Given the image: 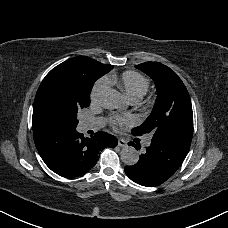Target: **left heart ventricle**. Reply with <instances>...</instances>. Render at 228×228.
<instances>
[{
	"label": "left heart ventricle",
	"instance_id": "obj_1",
	"mask_svg": "<svg viewBox=\"0 0 228 228\" xmlns=\"http://www.w3.org/2000/svg\"><path fill=\"white\" fill-rule=\"evenodd\" d=\"M125 101H126V103L128 104V106H129V101L125 98ZM129 108V107H128ZM128 110V109H127ZM127 110H123V109H116V112L119 114L117 117H121L122 118V116H121V114H123V113H125Z\"/></svg>",
	"mask_w": 228,
	"mask_h": 228
}]
</instances>
